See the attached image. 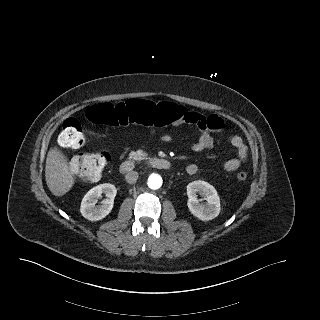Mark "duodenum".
<instances>
[{
    "label": "duodenum",
    "mask_w": 320,
    "mask_h": 320,
    "mask_svg": "<svg viewBox=\"0 0 320 320\" xmlns=\"http://www.w3.org/2000/svg\"><path fill=\"white\" fill-rule=\"evenodd\" d=\"M144 164L159 170H170L172 168V164L170 161L164 158H152L144 161ZM138 162L135 160H125L120 165V172L125 174L136 168Z\"/></svg>",
    "instance_id": "duodenum-1"
}]
</instances>
